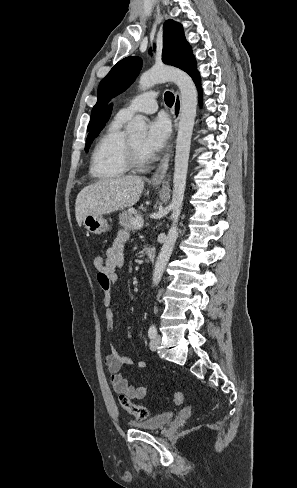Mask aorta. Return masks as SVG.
I'll return each mask as SVG.
<instances>
[{
	"instance_id": "1",
	"label": "aorta",
	"mask_w": 297,
	"mask_h": 488,
	"mask_svg": "<svg viewBox=\"0 0 297 488\" xmlns=\"http://www.w3.org/2000/svg\"><path fill=\"white\" fill-rule=\"evenodd\" d=\"M166 81L174 82L178 86L181 95V105L174 160L173 193L170 204L172 210L171 220L173 222L155 263L153 272L154 285H158L161 281L178 237L177 223L184 200L191 138L197 111L196 86L191 77L179 69L164 66L153 67L141 75L139 88L140 90H146L157 83ZM146 129L147 124L145 117L142 115H136L127 125V131L133 134L144 133Z\"/></svg>"
}]
</instances>
